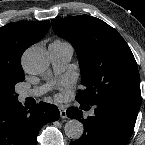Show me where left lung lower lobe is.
Masks as SVG:
<instances>
[{"label":"left lung lower lobe","instance_id":"obj_1","mask_svg":"<svg viewBox=\"0 0 145 145\" xmlns=\"http://www.w3.org/2000/svg\"><path fill=\"white\" fill-rule=\"evenodd\" d=\"M81 109L90 104L78 101ZM141 98H115L101 101L95 107L93 116L84 118L76 107L67 110L70 118L84 125L83 135L70 145H127L133 133Z\"/></svg>","mask_w":145,"mask_h":145}]
</instances>
